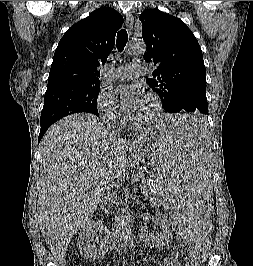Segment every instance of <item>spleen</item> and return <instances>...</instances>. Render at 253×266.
Returning <instances> with one entry per match:
<instances>
[{
	"label": "spleen",
	"instance_id": "obj_1",
	"mask_svg": "<svg viewBox=\"0 0 253 266\" xmlns=\"http://www.w3.org/2000/svg\"><path fill=\"white\" fill-rule=\"evenodd\" d=\"M162 122L146 187L163 210H172L170 229L179 248H202L215 235L210 138L197 115H164Z\"/></svg>",
	"mask_w": 253,
	"mask_h": 266
}]
</instances>
